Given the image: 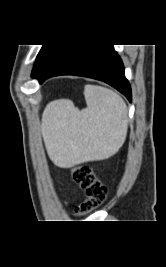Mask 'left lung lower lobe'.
Returning a JSON list of instances; mask_svg holds the SVG:
<instances>
[{
	"label": "left lung lower lobe",
	"instance_id": "left-lung-lower-lobe-1",
	"mask_svg": "<svg viewBox=\"0 0 166 267\" xmlns=\"http://www.w3.org/2000/svg\"><path fill=\"white\" fill-rule=\"evenodd\" d=\"M58 75L84 76L106 82L131 102V87L113 45H56L33 77L43 83L47 78Z\"/></svg>",
	"mask_w": 166,
	"mask_h": 267
}]
</instances>
